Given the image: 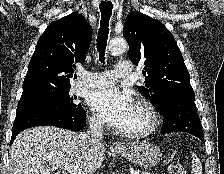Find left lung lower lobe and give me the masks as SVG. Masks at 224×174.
I'll return each mask as SVG.
<instances>
[{"mask_svg": "<svg viewBox=\"0 0 224 174\" xmlns=\"http://www.w3.org/2000/svg\"><path fill=\"white\" fill-rule=\"evenodd\" d=\"M195 96L168 95L158 111L164 117L161 134L187 132L204 142Z\"/></svg>", "mask_w": 224, "mask_h": 174, "instance_id": "left-lung-lower-lobe-1", "label": "left lung lower lobe"}]
</instances>
